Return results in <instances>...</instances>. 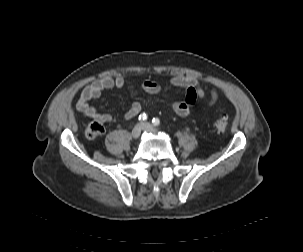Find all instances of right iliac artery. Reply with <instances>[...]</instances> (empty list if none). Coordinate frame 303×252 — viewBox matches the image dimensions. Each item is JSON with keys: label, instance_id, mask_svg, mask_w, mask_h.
Instances as JSON below:
<instances>
[{"label": "right iliac artery", "instance_id": "obj_1", "mask_svg": "<svg viewBox=\"0 0 303 252\" xmlns=\"http://www.w3.org/2000/svg\"><path fill=\"white\" fill-rule=\"evenodd\" d=\"M139 121H145L147 119V115L145 113H142L139 115Z\"/></svg>", "mask_w": 303, "mask_h": 252}]
</instances>
